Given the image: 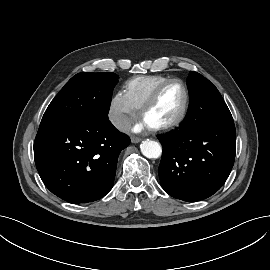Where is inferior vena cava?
<instances>
[{
    "mask_svg": "<svg viewBox=\"0 0 270 270\" xmlns=\"http://www.w3.org/2000/svg\"><path fill=\"white\" fill-rule=\"evenodd\" d=\"M113 125L121 131H126L130 128V119L124 115H115L111 118Z\"/></svg>",
    "mask_w": 270,
    "mask_h": 270,
    "instance_id": "1",
    "label": "inferior vena cava"
}]
</instances>
